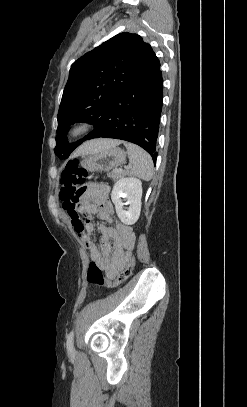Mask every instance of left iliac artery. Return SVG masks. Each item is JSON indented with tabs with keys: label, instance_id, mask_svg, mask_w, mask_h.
Returning <instances> with one entry per match:
<instances>
[{
	"label": "left iliac artery",
	"instance_id": "left-iliac-artery-1",
	"mask_svg": "<svg viewBox=\"0 0 247 407\" xmlns=\"http://www.w3.org/2000/svg\"><path fill=\"white\" fill-rule=\"evenodd\" d=\"M73 337H74V331H71L69 333V335L67 336V342H66L68 351H72V349H73Z\"/></svg>",
	"mask_w": 247,
	"mask_h": 407
}]
</instances>
